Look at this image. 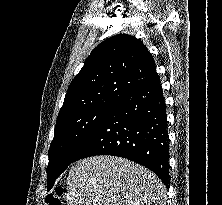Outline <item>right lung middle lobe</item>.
<instances>
[{"mask_svg": "<svg viewBox=\"0 0 222 205\" xmlns=\"http://www.w3.org/2000/svg\"><path fill=\"white\" fill-rule=\"evenodd\" d=\"M117 103L95 105L56 122L54 138L48 151L49 186L73 162L82 145Z\"/></svg>", "mask_w": 222, "mask_h": 205, "instance_id": "1", "label": "right lung middle lobe"}]
</instances>
